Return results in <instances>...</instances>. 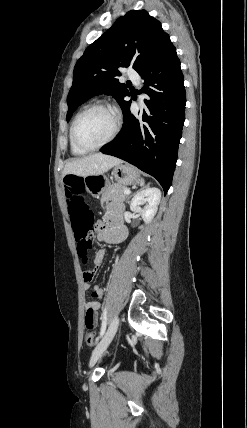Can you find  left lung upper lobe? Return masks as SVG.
I'll return each mask as SVG.
<instances>
[{
  "mask_svg": "<svg viewBox=\"0 0 247 428\" xmlns=\"http://www.w3.org/2000/svg\"><path fill=\"white\" fill-rule=\"evenodd\" d=\"M173 47L161 23L147 11L132 10L120 17L77 61L67 97V121L80 104L98 94L112 95L123 110L124 97L130 93L115 78L121 75L118 68L132 65L140 73Z\"/></svg>",
  "mask_w": 247,
  "mask_h": 428,
  "instance_id": "1",
  "label": "left lung upper lobe"
}]
</instances>
